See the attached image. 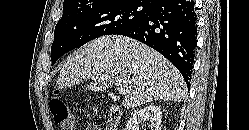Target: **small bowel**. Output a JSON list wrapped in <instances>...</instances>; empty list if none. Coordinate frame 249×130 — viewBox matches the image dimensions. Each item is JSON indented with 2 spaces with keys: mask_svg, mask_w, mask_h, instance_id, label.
Masks as SVG:
<instances>
[{
  "mask_svg": "<svg viewBox=\"0 0 249 130\" xmlns=\"http://www.w3.org/2000/svg\"><path fill=\"white\" fill-rule=\"evenodd\" d=\"M85 130H101L100 128H98L96 125H88Z\"/></svg>",
  "mask_w": 249,
  "mask_h": 130,
  "instance_id": "obj_1",
  "label": "small bowel"
}]
</instances>
